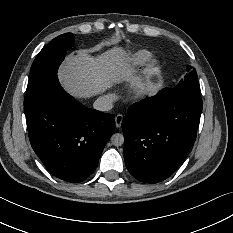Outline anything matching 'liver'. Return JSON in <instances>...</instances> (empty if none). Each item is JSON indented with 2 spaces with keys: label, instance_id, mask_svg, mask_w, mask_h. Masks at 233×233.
<instances>
[{
  "label": "liver",
  "instance_id": "obj_1",
  "mask_svg": "<svg viewBox=\"0 0 233 233\" xmlns=\"http://www.w3.org/2000/svg\"><path fill=\"white\" fill-rule=\"evenodd\" d=\"M63 90L78 100L88 101L106 94L119 84L142 97L158 94L160 88L153 80H144L136 72L130 54L115 45L92 55L86 49L68 54L57 71Z\"/></svg>",
  "mask_w": 233,
  "mask_h": 233
}]
</instances>
